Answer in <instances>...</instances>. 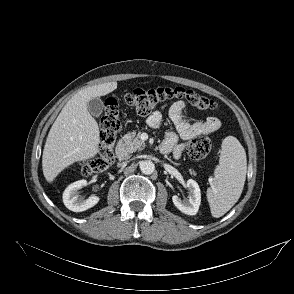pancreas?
Returning a JSON list of instances; mask_svg holds the SVG:
<instances>
[{
	"mask_svg": "<svg viewBox=\"0 0 294 294\" xmlns=\"http://www.w3.org/2000/svg\"><path fill=\"white\" fill-rule=\"evenodd\" d=\"M126 149L132 153L137 150H142L145 147V142L140 139V133L136 135L135 132H131L125 135ZM191 174L195 175V171H191Z\"/></svg>",
	"mask_w": 294,
	"mask_h": 294,
	"instance_id": "pancreas-1",
	"label": "pancreas"
}]
</instances>
